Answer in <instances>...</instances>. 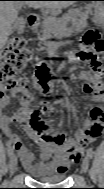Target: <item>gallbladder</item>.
Masks as SVG:
<instances>
[{
	"mask_svg": "<svg viewBox=\"0 0 104 189\" xmlns=\"http://www.w3.org/2000/svg\"><path fill=\"white\" fill-rule=\"evenodd\" d=\"M15 7L17 9H21V8H26L27 6L25 4H23V3L17 2ZM24 25H25V20H24L23 17H20L14 23V28L17 29L19 33H22L23 30H24Z\"/></svg>",
	"mask_w": 104,
	"mask_h": 189,
	"instance_id": "bac80fb5",
	"label": "gallbladder"
}]
</instances>
